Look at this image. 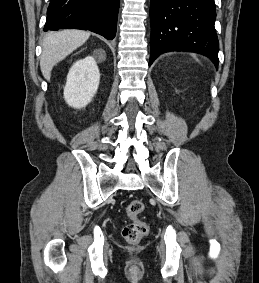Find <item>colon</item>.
I'll return each instance as SVG.
<instances>
[{
  "label": "colon",
  "instance_id": "1",
  "mask_svg": "<svg viewBox=\"0 0 259 283\" xmlns=\"http://www.w3.org/2000/svg\"><path fill=\"white\" fill-rule=\"evenodd\" d=\"M143 211L144 203L138 199L132 200L126 208L130 222L124 226L122 235L130 244L139 243L148 233L147 223L139 218Z\"/></svg>",
  "mask_w": 259,
  "mask_h": 283
}]
</instances>
